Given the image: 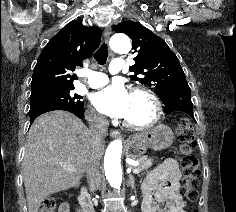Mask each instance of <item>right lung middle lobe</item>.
<instances>
[{
    "label": "right lung middle lobe",
    "instance_id": "1",
    "mask_svg": "<svg viewBox=\"0 0 236 212\" xmlns=\"http://www.w3.org/2000/svg\"><path fill=\"white\" fill-rule=\"evenodd\" d=\"M73 89L74 86L54 87L32 92L30 96L31 103L46 102L65 106L84 107V103L81 101L82 96L73 94L71 92Z\"/></svg>",
    "mask_w": 236,
    "mask_h": 212
}]
</instances>
